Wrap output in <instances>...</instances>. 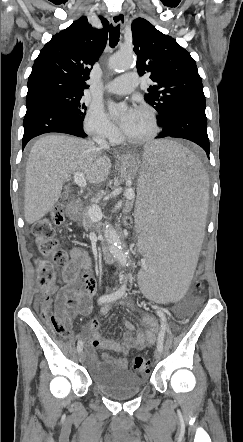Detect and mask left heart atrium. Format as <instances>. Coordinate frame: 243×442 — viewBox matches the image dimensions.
<instances>
[{
	"mask_svg": "<svg viewBox=\"0 0 243 442\" xmlns=\"http://www.w3.org/2000/svg\"><path fill=\"white\" fill-rule=\"evenodd\" d=\"M138 109L134 108V107H130L127 111V113L125 114V116L123 117V119L120 122V126L121 128L124 130L126 129L129 124L131 123L132 119L134 118V116L136 115Z\"/></svg>",
	"mask_w": 243,
	"mask_h": 442,
	"instance_id": "obj_1",
	"label": "left heart atrium"
}]
</instances>
